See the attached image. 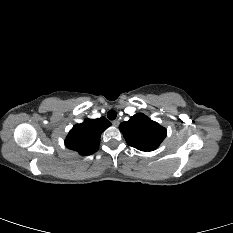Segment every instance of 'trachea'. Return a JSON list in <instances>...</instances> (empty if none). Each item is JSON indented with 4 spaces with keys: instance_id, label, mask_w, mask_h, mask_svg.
Masks as SVG:
<instances>
[{
    "instance_id": "trachea-1",
    "label": "trachea",
    "mask_w": 233,
    "mask_h": 233,
    "mask_svg": "<svg viewBox=\"0 0 233 233\" xmlns=\"http://www.w3.org/2000/svg\"><path fill=\"white\" fill-rule=\"evenodd\" d=\"M107 117L109 120H114L117 117V112L115 110H110L107 113Z\"/></svg>"
}]
</instances>
